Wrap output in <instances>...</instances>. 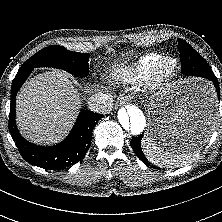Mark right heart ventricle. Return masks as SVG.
Instances as JSON below:
<instances>
[{"label": "right heart ventricle", "instance_id": "e07e8e85", "mask_svg": "<svg viewBox=\"0 0 222 222\" xmlns=\"http://www.w3.org/2000/svg\"><path fill=\"white\" fill-rule=\"evenodd\" d=\"M163 57L161 53L152 52L141 56L131 67L127 77L131 80L149 79L154 65Z\"/></svg>", "mask_w": 222, "mask_h": 222}]
</instances>
